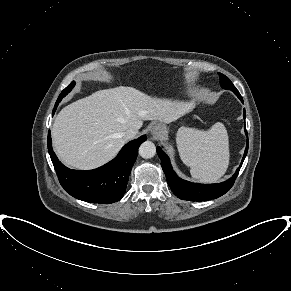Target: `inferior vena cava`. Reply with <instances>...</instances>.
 <instances>
[{
	"mask_svg": "<svg viewBox=\"0 0 291 291\" xmlns=\"http://www.w3.org/2000/svg\"><path fill=\"white\" fill-rule=\"evenodd\" d=\"M137 133H138V130L130 128V129H127L126 131H124L122 136L125 140H129V139H132L133 137H135Z\"/></svg>",
	"mask_w": 291,
	"mask_h": 291,
	"instance_id": "1",
	"label": "inferior vena cava"
}]
</instances>
